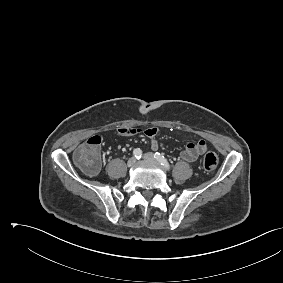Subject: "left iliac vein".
I'll return each instance as SVG.
<instances>
[{"label": "left iliac vein", "mask_w": 283, "mask_h": 283, "mask_svg": "<svg viewBox=\"0 0 283 283\" xmlns=\"http://www.w3.org/2000/svg\"><path fill=\"white\" fill-rule=\"evenodd\" d=\"M143 159L147 161H155V157L153 156L152 153H145L143 155Z\"/></svg>", "instance_id": "1"}]
</instances>
